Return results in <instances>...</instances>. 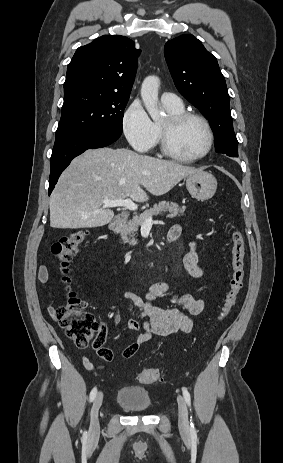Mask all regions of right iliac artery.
Masks as SVG:
<instances>
[{
	"mask_svg": "<svg viewBox=\"0 0 283 463\" xmlns=\"http://www.w3.org/2000/svg\"><path fill=\"white\" fill-rule=\"evenodd\" d=\"M96 395H97V388L95 387V388H93L92 391L90 392V397H89L90 402H92V401L95 399ZM83 436H84V437L87 436V432H86V431L84 432Z\"/></svg>",
	"mask_w": 283,
	"mask_h": 463,
	"instance_id": "82829eb1",
	"label": "right iliac artery"
}]
</instances>
